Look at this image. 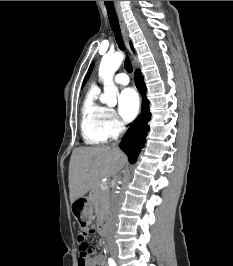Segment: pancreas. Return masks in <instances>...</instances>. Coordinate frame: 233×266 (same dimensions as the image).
Segmentation results:
<instances>
[{
    "instance_id": "1",
    "label": "pancreas",
    "mask_w": 233,
    "mask_h": 266,
    "mask_svg": "<svg viewBox=\"0 0 233 266\" xmlns=\"http://www.w3.org/2000/svg\"><path fill=\"white\" fill-rule=\"evenodd\" d=\"M90 201L98 208L99 215L104 216L109 208V190H102L96 185L89 194Z\"/></svg>"
}]
</instances>
